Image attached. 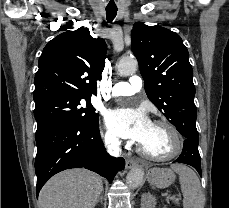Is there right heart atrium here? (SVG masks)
I'll use <instances>...</instances> for the list:
<instances>
[{"label":"right heart atrium","instance_id":"1","mask_svg":"<svg viewBox=\"0 0 229 208\" xmlns=\"http://www.w3.org/2000/svg\"><path fill=\"white\" fill-rule=\"evenodd\" d=\"M103 141L106 144V146L110 148H115L120 145V140L118 139L117 136H115L113 133L110 131H105L103 133Z\"/></svg>","mask_w":229,"mask_h":208}]
</instances>
